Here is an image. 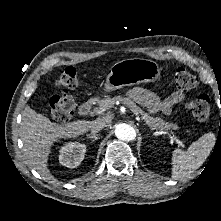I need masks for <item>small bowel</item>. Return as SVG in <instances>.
Segmentation results:
<instances>
[{
	"label": "small bowel",
	"mask_w": 221,
	"mask_h": 221,
	"mask_svg": "<svg viewBox=\"0 0 221 221\" xmlns=\"http://www.w3.org/2000/svg\"><path fill=\"white\" fill-rule=\"evenodd\" d=\"M128 96L142 105L151 113L163 112L171 114L172 107L185 99L183 91H175L164 100H160L152 91L143 87H134L128 91Z\"/></svg>",
	"instance_id": "small-bowel-1"
}]
</instances>
